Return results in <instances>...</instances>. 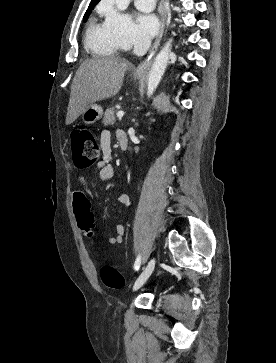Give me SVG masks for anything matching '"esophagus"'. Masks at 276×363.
<instances>
[{
  "label": "esophagus",
  "instance_id": "esophagus-1",
  "mask_svg": "<svg viewBox=\"0 0 276 363\" xmlns=\"http://www.w3.org/2000/svg\"><path fill=\"white\" fill-rule=\"evenodd\" d=\"M166 2H168V0H161V2H160V6H159V12L161 15L160 29H159L158 35H157L151 49L149 50V53H148L146 59L142 63H140L139 66L137 67V69H136L137 74L147 73L148 69L151 66L152 59L158 49V46H159L160 40L163 36V32H164V28H165V22H166V6H165V4H166Z\"/></svg>",
  "mask_w": 276,
  "mask_h": 363
}]
</instances>
